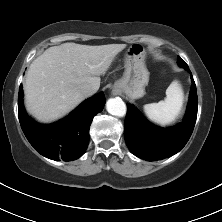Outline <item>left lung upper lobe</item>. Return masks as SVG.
I'll use <instances>...</instances> for the list:
<instances>
[{"label": "left lung upper lobe", "mask_w": 222, "mask_h": 222, "mask_svg": "<svg viewBox=\"0 0 222 222\" xmlns=\"http://www.w3.org/2000/svg\"><path fill=\"white\" fill-rule=\"evenodd\" d=\"M178 65L181 67V68H185V69H188V65L178 56Z\"/></svg>", "instance_id": "obj_1"}]
</instances>
